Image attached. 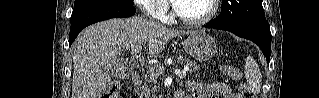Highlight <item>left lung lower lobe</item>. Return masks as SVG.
<instances>
[{
  "instance_id": "obj_1",
  "label": "left lung lower lobe",
  "mask_w": 319,
  "mask_h": 98,
  "mask_svg": "<svg viewBox=\"0 0 319 98\" xmlns=\"http://www.w3.org/2000/svg\"><path fill=\"white\" fill-rule=\"evenodd\" d=\"M205 27L227 30L239 37H243L253 41L262 49V52L267 59V63H269L271 48V32L267 23H258L243 27H217L207 23Z\"/></svg>"
}]
</instances>
